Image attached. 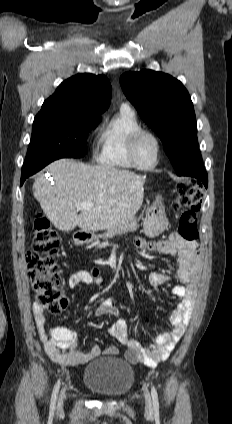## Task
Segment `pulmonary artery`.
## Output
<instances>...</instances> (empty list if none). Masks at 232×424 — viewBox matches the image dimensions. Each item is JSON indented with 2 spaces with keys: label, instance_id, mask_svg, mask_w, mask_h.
<instances>
[{
  "label": "pulmonary artery",
  "instance_id": "obj_1",
  "mask_svg": "<svg viewBox=\"0 0 232 424\" xmlns=\"http://www.w3.org/2000/svg\"><path fill=\"white\" fill-rule=\"evenodd\" d=\"M123 107H127V105H123Z\"/></svg>",
  "mask_w": 232,
  "mask_h": 424
}]
</instances>
